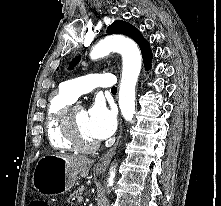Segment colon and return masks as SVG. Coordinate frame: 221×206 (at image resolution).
<instances>
[{
    "mask_svg": "<svg viewBox=\"0 0 221 206\" xmlns=\"http://www.w3.org/2000/svg\"><path fill=\"white\" fill-rule=\"evenodd\" d=\"M29 206H49L48 203H46L43 200H33Z\"/></svg>",
    "mask_w": 221,
    "mask_h": 206,
    "instance_id": "5ec220e1",
    "label": "colon"
}]
</instances>
